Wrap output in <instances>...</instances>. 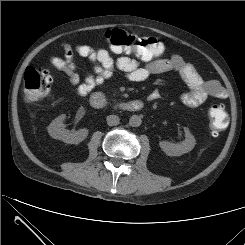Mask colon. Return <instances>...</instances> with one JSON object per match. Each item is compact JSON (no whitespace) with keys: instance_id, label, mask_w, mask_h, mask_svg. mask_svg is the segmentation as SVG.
Listing matches in <instances>:
<instances>
[{"instance_id":"5ec220e1","label":"colon","mask_w":245,"mask_h":245,"mask_svg":"<svg viewBox=\"0 0 245 245\" xmlns=\"http://www.w3.org/2000/svg\"><path fill=\"white\" fill-rule=\"evenodd\" d=\"M107 44L116 52L131 53L143 61H154L164 51L163 45L154 37L134 35L126 30L113 29L105 33ZM53 79L45 69L28 67L24 73L26 98L40 102L51 89ZM209 127L213 135L222 132L228 121L223 104H213L208 111Z\"/></svg>"}]
</instances>
